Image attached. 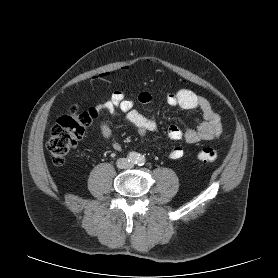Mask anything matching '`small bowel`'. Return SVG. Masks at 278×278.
Returning <instances> with one entry per match:
<instances>
[{"label": "small bowel", "instance_id": "obj_1", "mask_svg": "<svg viewBox=\"0 0 278 278\" xmlns=\"http://www.w3.org/2000/svg\"><path fill=\"white\" fill-rule=\"evenodd\" d=\"M107 77V74H99L96 79ZM153 97L148 91H140L136 98L129 97L124 91L117 90L111 97L93 109V119L97 118L100 112L110 114H123L136 128L141 137H147L149 133L156 131L157 124L154 120L145 117L135 108L136 101L142 104H149ZM165 100L172 107H179L186 111L199 110L203 121L195 128L182 130L177 125L168 128L167 135L172 141L184 139L189 144L201 141H212L222 133L221 116L216 112L210 102L203 96L196 94L192 90L181 88L177 91L167 92ZM103 137L111 142L113 149L121 150V144L115 139L109 125L103 122L101 125ZM184 155V150L180 146H174L169 157L178 160Z\"/></svg>", "mask_w": 278, "mask_h": 278}]
</instances>
